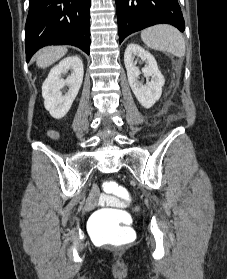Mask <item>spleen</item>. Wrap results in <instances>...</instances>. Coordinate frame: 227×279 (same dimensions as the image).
<instances>
[{"label": "spleen", "instance_id": "obj_1", "mask_svg": "<svg viewBox=\"0 0 227 279\" xmlns=\"http://www.w3.org/2000/svg\"><path fill=\"white\" fill-rule=\"evenodd\" d=\"M143 42L150 48L177 57L185 55V41L181 33L170 25H156L141 32Z\"/></svg>", "mask_w": 227, "mask_h": 279}]
</instances>
